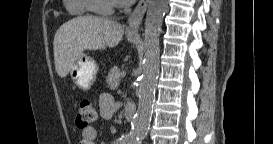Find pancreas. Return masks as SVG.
Masks as SVG:
<instances>
[{"label": "pancreas", "mask_w": 273, "mask_h": 144, "mask_svg": "<svg viewBox=\"0 0 273 144\" xmlns=\"http://www.w3.org/2000/svg\"><path fill=\"white\" fill-rule=\"evenodd\" d=\"M121 70L118 67H113L107 76V84L110 89H116L120 84Z\"/></svg>", "instance_id": "pancreas-1"}]
</instances>
